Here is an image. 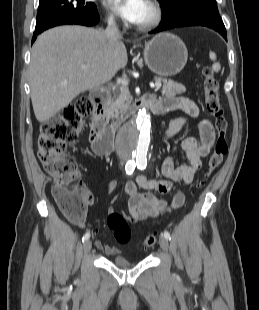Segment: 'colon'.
<instances>
[{"mask_svg": "<svg viewBox=\"0 0 259 310\" xmlns=\"http://www.w3.org/2000/svg\"><path fill=\"white\" fill-rule=\"evenodd\" d=\"M204 105L214 119L215 140L213 153L209 159L198 187H201L212 176L222 163L228 151L226 140L227 120L220 101L218 80L210 67L204 70ZM91 101L81 97L66 105L61 112L43 123L38 138V157L45 170L53 177L52 194L62 213L72 222L77 223L85 216L90 192L79 178L74 158L65 152L84 127L83 119L90 114ZM108 228L115 240L121 244L128 243L131 229L127 219L118 212H109ZM158 235H147L143 240L146 249L152 248Z\"/></svg>", "mask_w": 259, "mask_h": 310, "instance_id": "colon-1", "label": "colon"}]
</instances>
